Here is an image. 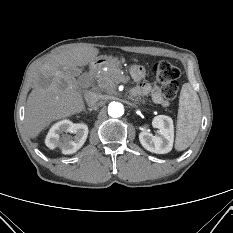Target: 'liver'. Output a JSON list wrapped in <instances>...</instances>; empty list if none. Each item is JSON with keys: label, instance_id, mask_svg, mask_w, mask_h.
<instances>
[{"label": "liver", "instance_id": "obj_1", "mask_svg": "<svg viewBox=\"0 0 233 233\" xmlns=\"http://www.w3.org/2000/svg\"><path fill=\"white\" fill-rule=\"evenodd\" d=\"M98 53L89 44L78 45L51 56L37 69L25 111V128L31 138L53 121L85 109L76 76L70 70L93 62Z\"/></svg>", "mask_w": 233, "mask_h": 233}]
</instances>
